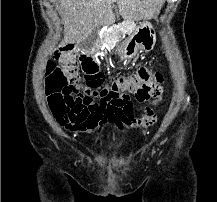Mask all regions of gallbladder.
<instances>
[{
    "label": "gallbladder",
    "mask_w": 217,
    "mask_h": 202,
    "mask_svg": "<svg viewBox=\"0 0 217 202\" xmlns=\"http://www.w3.org/2000/svg\"><path fill=\"white\" fill-rule=\"evenodd\" d=\"M99 36L97 30H93L86 39H81L80 41V49L83 51L84 49L89 51L92 46H94L95 42H97ZM85 47V48H84Z\"/></svg>",
    "instance_id": "1"
}]
</instances>
